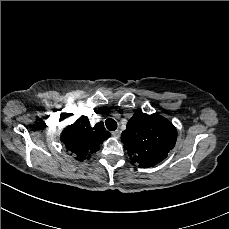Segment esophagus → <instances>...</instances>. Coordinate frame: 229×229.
<instances>
[{"label":"esophagus","instance_id":"esophagus-1","mask_svg":"<svg viewBox=\"0 0 229 229\" xmlns=\"http://www.w3.org/2000/svg\"><path fill=\"white\" fill-rule=\"evenodd\" d=\"M112 134H113V136L116 137L117 139L120 138V131H119V130L113 131Z\"/></svg>","mask_w":229,"mask_h":229}]
</instances>
